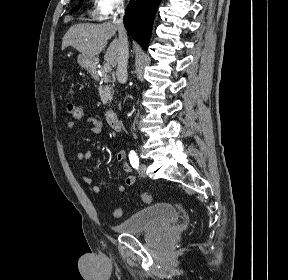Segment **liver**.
<instances>
[{
	"label": "liver",
	"instance_id": "liver-1",
	"mask_svg": "<svg viewBox=\"0 0 288 280\" xmlns=\"http://www.w3.org/2000/svg\"><path fill=\"white\" fill-rule=\"evenodd\" d=\"M116 31V26L110 22L76 24L71 26L64 35L62 49L72 46L82 54L95 57L105 49L108 40L115 35ZM119 47V38L115 37L105 53L104 59L112 67L117 65Z\"/></svg>",
	"mask_w": 288,
	"mask_h": 280
}]
</instances>
